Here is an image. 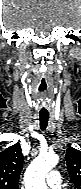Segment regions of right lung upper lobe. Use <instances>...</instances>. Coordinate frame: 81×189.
I'll return each mask as SVG.
<instances>
[{
  "mask_svg": "<svg viewBox=\"0 0 81 189\" xmlns=\"http://www.w3.org/2000/svg\"><path fill=\"white\" fill-rule=\"evenodd\" d=\"M23 162L19 143L0 152V189H18Z\"/></svg>",
  "mask_w": 81,
  "mask_h": 189,
  "instance_id": "1",
  "label": "right lung upper lobe"
}]
</instances>
